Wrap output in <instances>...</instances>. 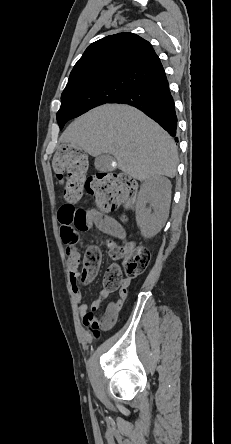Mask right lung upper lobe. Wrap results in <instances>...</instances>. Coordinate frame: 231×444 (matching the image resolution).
Wrapping results in <instances>:
<instances>
[{"mask_svg": "<svg viewBox=\"0 0 231 444\" xmlns=\"http://www.w3.org/2000/svg\"><path fill=\"white\" fill-rule=\"evenodd\" d=\"M164 68L152 45L133 33H118L92 43L70 73L65 90L105 83L134 86Z\"/></svg>", "mask_w": 231, "mask_h": 444, "instance_id": "1", "label": "right lung upper lobe"}]
</instances>
